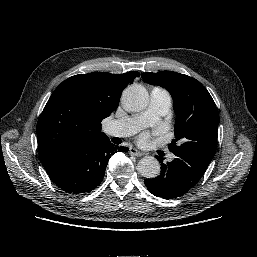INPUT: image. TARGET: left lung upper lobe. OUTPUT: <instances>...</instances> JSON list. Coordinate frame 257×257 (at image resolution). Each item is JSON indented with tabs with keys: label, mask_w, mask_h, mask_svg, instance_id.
<instances>
[{
	"label": "left lung upper lobe",
	"mask_w": 257,
	"mask_h": 257,
	"mask_svg": "<svg viewBox=\"0 0 257 257\" xmlns=\"http://www.w3.org/2000/svg\"><path fill=\"white\" fill-rule=\"evenodd\" d=\"M145 82L167 89L176 112L171 152L188 151L212 160L216 152L219 114L209 92L196 79L161 71L142 73Z\"/></svg>",
	"instance_id": "obj_1"
}]
</instances>
